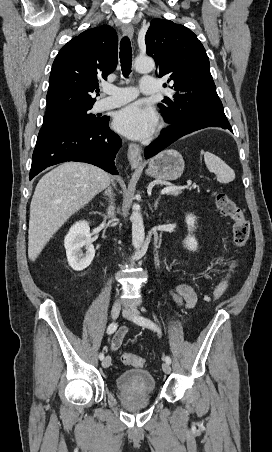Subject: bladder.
<instances>
[{
	"mask_svg": "<svg viewBox=\"0 0 272 452\" xmlns=\"http://www.w3.org/2000/svg\"><path fill=\"white\" fill-rule=\"evenodd\" d=\"M121 391L139 394H152L156 388V381L151 372L144 369H131L122 372L115 381Z\"/></svg>",
	"mask_w": 272,
	"mask_h": 452,
	"instance_id": "obj_1",
	"label": "bladder"
}]
</instances>
